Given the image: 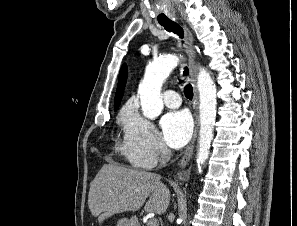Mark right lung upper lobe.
<instances>
[{
	"instance_id": "1",
	"label": "right lung upper lobe",
	"mask_w": 297,
	"mask_h": 226,
	"mask_svg": "<svg viewBox=\"0 0 297 226\" xmlns=\"http://www.w3.org/2000/svg\"><path fill=\"white\" fill-rule=\"evenodd\" d=\"M126 80H127V66L126 64H124L121 67L120 73H119L118 85H117V90H116V95L114 100V108L118 107L120 104V101L123 96Z\"/></svg>"
}]
</instances>
